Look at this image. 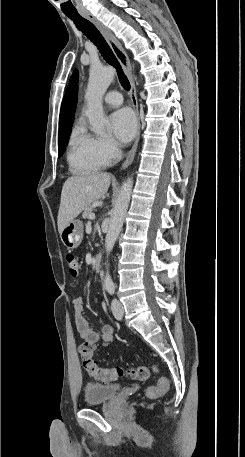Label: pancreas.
<instances>
[{
  "instance_id": "pancreas-1",
  "label": "pancreas",
  "mask_w": 245,
  "mask_h": 457,
  "mask_svg": "<svg viewBox=\"0 0 245 457\" xmlns=\"http://www.w3.org/2000/svg\"><path fill=\"white\" fill-rule=\"evenodd\" d=\"M92 210H94V206H92V204H88V206L84 208L82 218H90L91 214H93Z\"/></svg>"
}]
</instances>
